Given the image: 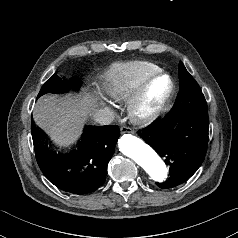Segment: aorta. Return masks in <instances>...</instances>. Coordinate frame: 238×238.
Instances as JSON below:
<instances>
[{"instance_id": "762f6f07", "label": "aorta", "mask_w": 238, "mask_h": 238, "mask_svg": "<svg viewBox=\"0 0 238 238\" xmlns=\"http://www.w3.org/2000/svg\"><path fill=\"white\" fill-rule=\"evenodd\" d=\"M119 150L134 160L154 180L161 182L167 177V167L159 155L141 139L124 134L118 140Z\"/></svg>"}]
</instances>
